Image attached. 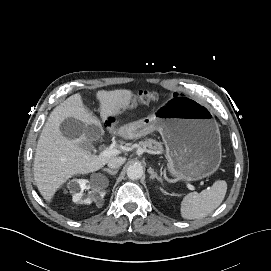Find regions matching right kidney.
<instances>
[{
  "instance_id": "right-kidney-1",
  "label": "right kidney",
  "mask_w": 271,
  "mask_h": 271,
  "mask_svg": "<svg viewBox=\"0 0 271 271\" xmlns=\"http://www.w3.org/2000/svg\"><path fill=\"white\" fill-rule=\"evenodd\" d=\"M68 188L73 194V201L76 203L90 204L92 201L97 200L99 197L103 198V187L96 183H90L85 179H73L68 183ZM92 189L87 197H84L83 191Z\"/></svg>"
}]
</instances>
